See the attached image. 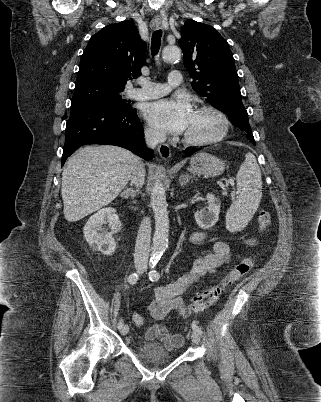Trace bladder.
Masks as SVG:
<instances>
[{
  "instance_id": "1",
  "label": "bladder",
  "mask_w": 321,
  "mask_h": 402,
  "mask_svg": "<svg viewBox=\"0 0 321 402\" xmlns=\"http://www.w3.org/2000/svg\"><path fill=\"white\" fill-rule=\"evenodd\" d=\"M138 355L149 362L169 361L175 356L160 343L151 342L147 339L138 347Z\"/></svg>"
}]
</instances>
